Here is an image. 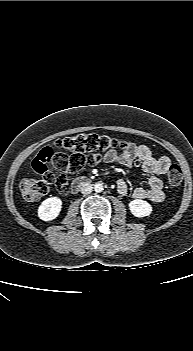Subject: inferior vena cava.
Masks as SVG:
<instances>
[{"mask_svg": "<svg viewBox=\"0 0 193 351\" xmlns=\"http://www.w3.org/2000/svg\"><path fill=\"white\" fill-rule=\"evenodd\" d=\"M93 190V185L86 182L84 184H82L81 186V193L82 194H90Z\"/></svg>", "mask_w": 193, "mask_h": 351, "instance_id": "obj_1", "label": "inferior vena cava"}]
</instances>
